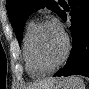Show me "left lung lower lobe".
Returning a JSON list of instances; mask_svg holds the SVG:
<instances>
[{
	"instance_id": "0a47b994",
	"label": "left lung lower lobe",
	"mask_w": 89,
	"mask_h": 89,
	"mask_svg": "<svg viewBox=\"0 0 89 89\" xmlns=\"http://www.w3.org/2000/svg\"><path fill=\"white\" fill-rule=\"evenodd\" d=\"M69 5L72 50L66 65L54 76L79 74L89 77V0H69ZM60 17L65 21L66 13L62 11Z\"/></svg>"
}]
</instances>
